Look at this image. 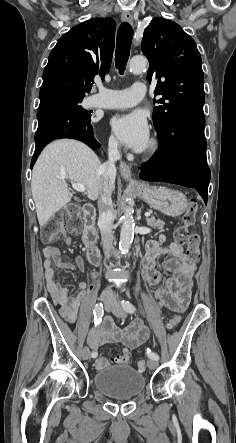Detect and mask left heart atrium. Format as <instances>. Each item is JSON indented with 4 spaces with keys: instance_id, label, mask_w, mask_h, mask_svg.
<instances>
[{
    "instance_id": "1",
    "label": "left heart atrium",
    "mask_w": 236,
    "mask_h": 443,
    "mask_svg": "<svg viewBox=\"0 0 236 443\" xmlns=\"http://www.w3.org/2000/svg\"><path fill=\"white\" fill-rule=\"evenodd\" d=\"M115 139L135 151L144 150L149 143V126L141 112L115 114L108 120Z\"/></svg>"
}]
</instances>
